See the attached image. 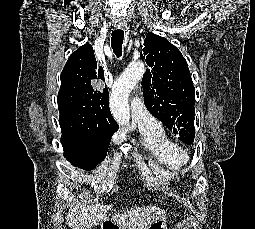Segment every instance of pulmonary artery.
Masks as SVG:
<instances>
[{"mask_svg": "<svg viewBox=\"0 0 255 229\" xmlns=\"http://www.w3.org/2000/svg\"><path fill=\"white\" fill-rule=\"evenodd\" d=\"M131 113L134 122L139 125H144L147 127H155L157 121L154 117L146 110L144 104L139 97L134 96L131 99Z\"/></svg>", "mask_w": 255, "mask_h": 229, "instance_id": "pulmonary-artery-1", "label": "pulmonary artery"}]
</instances>
